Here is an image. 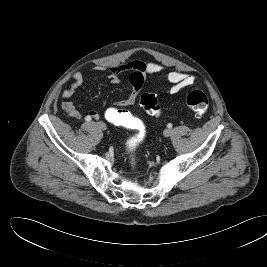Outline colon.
<instances>
[{"label":"colon","instance_id":"obj_1","mask_svg":"<svg viewBox=\"0 0 267 267\" xmlns=\"http://www.w3.org/2000/svg\"><path fill=\"white\" fill-rule=\"evenodd\" d=\"M186 105L197 116L204 115L209 107L207 96L199 91L193 90L186 96ZM140 106L152 116H160L161 107L157 98L150 93H144L140 97ZM104 118L110 124L132 129L135 134L125 142V149L128 153H133L145 139V128L140 120L135 118L130 112L120 108L117 105L108 106L103 113Z\"/></svg>","mask_w":267,"mask_h":267}]
</instances>
